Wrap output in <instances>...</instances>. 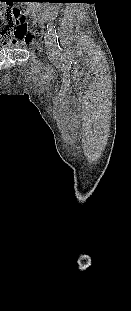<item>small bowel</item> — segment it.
Segmentation results:
<instances>
[{
  "mask_svg": "<svg viewBox=\"0 0 131 311\" xmlns=\"http://www.w3.org/2000/svg\"><path fill=\"white\" fill-rule=\"evenodd\" d=\"M33 16L36 19H41V15L38 13L34 14ZM0 35H1L0 38L6 37V34L3 32ZM10 37L12 38L13 43L17 42L20 44L29 45L34 42L36 35L35 33L27 32V29H23L22 27H17L12 32H10Z\"/></svg>",
  "mask_w": 131,
  "mask_h": 311,
  "instance_id": "small-bowel-1",
  "label": "small bowel"
}]
</instances>
